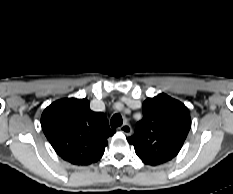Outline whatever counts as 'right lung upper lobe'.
Listing matches in <instances>:
<instances>
[{
    "label": "right lung upper lobe",
    "instance_id": "obj_1",
    "mask_svg": "<svg viewBox=\"0 0 233 194\" xmlns=\"http://www.w3.org/2000/svg\"><path fill=\"white\" fill-rule=\"evenodd\" d=\"M41 126L57 154L74 165H89L104 154L114 135L106 116L90 110L87 99L66 98L43 112Z\"/></svg>",
    "mask_w": 233,
    "mask_h": 194
}]
</instances>
